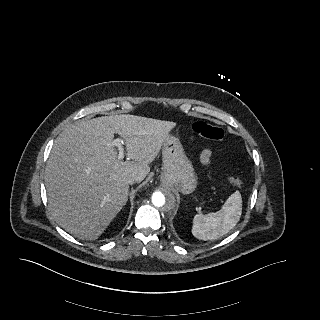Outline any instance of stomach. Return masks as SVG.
Here are the masks:
<instances>
[{"instance_id": "1", "label": "stomach", "mask_w": 320, "mask_h": 320, "mask_svg": "<svg viewBox=\"0 0 320 320\" xmlns=\"http://www.w3.org/2000/svg\"><path fill=\"white\" fill-rule=\"evenodd\" d=\"M162 157L161 182L183 194L194 192L197 177L177 137L167 135L162 145Z\"/></svg>"}]
</instances>
